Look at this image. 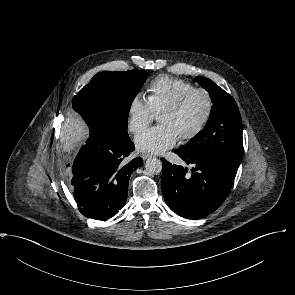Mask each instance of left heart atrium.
Returning <instances> with one entry per match:
<instances>
[{
	"label": "left heart atrium",
	"mask_w": 295,
	"mask_h": 295,
	"mask_svg": "<svg viewBox=\"0 0 295 295\" xmlns=\"http://www.w3.org/2000/svg\"><path fill=\"white\" fill-rule=\"evenodd\" d=\"M179 137L172 127L161 124L139 134L135 138V144L142 152L160 154L175 146Z\"/></svg>",
	"instance_id": "1"
}]
</instances>
